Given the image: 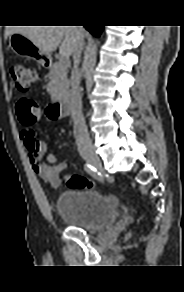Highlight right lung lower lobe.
I'll return each mask as SVG.
<instances>
[{
	"mask_svg": "<svg viewBox=\"0 0 184 292\" xmlns=\"http://www.w3.org/2000/svg\"><path fill=\"white\" fill-rule=\"evenodd\" d=\"M93 36H96V37H99L102 29H103V26L101 25H85L84 26Z\"/></svg>",
	"mask_w": 184,
	"mask_h": 292,
	"instance_id": "right-lung-lower-lobe-1",
	"label": "right lung lower lobe"
}]
</instances>
